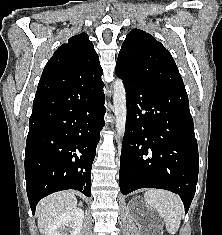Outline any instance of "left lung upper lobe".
Masks as SVG:
<instances>
[{
  "label": "left lung upper lobe",
  "mask_w": 222,
  "mask_h": 235,
  "mask_svg": "<svg viewBox=\"0 0 222 235\" xmlns=\"http://www.w3.org/2000/svg\"><path fill=\"white\" fill-rule=\"evenodd\" d=\"M116 68L140 82L188 101L183 80L170 52L143 30L129 32L119 52Z\"/></svg>",
  "instance_id": "1"
}]
</instances>
